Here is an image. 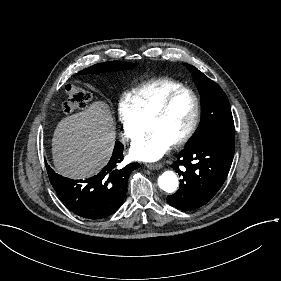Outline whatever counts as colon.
<instances>
[{"instance_id": "colon-1", "label": "colon", "mask_w": 281, "mask_h": 281, "mask_svg": "<svg viewBox=\"0 0 281 281\" xmlns=\"http://www.w3.org/2000/svg\"><path fill=\"white\" fill-rule=\"evenodd\" d=\"M67 94L68 98L63 103V110L67 114L86 107L91 101V94L88 91L73 85L67 88Z\"/></svg>"}]
</instances>
